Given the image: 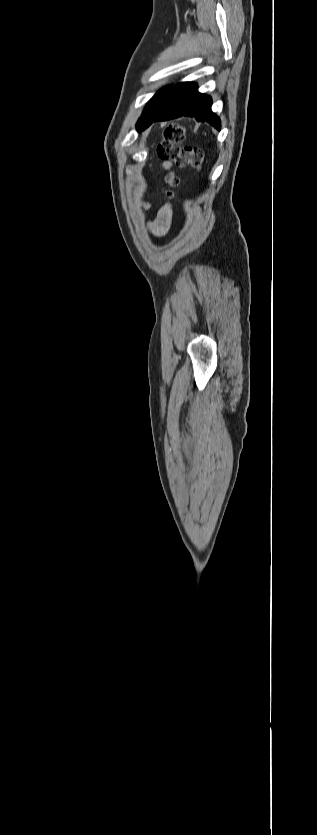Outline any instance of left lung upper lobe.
Listing matches in <instances>:
<instances>
[{
  "mask_svg": "<svg viewBox=\"0 0 317 835\" xmlns=\"http://www.w3.org/2000/svg\"><path fill=\"white\" fill-rule=\"evenodd\" d=\"M174 87L168 86L161 90H159L148 102L146 105L140 119L137 122V130H140L143 123L149 119L150 117L154 116L159 109L164 105V103L169 98L172 90Z\"/></svg>",
  "mask_w": 317,
  "mask_h": 835,
  "instance_id": "left-lung-upper-lobe-1",
  "label": "left lung upper lobe"
}]
</instances>
